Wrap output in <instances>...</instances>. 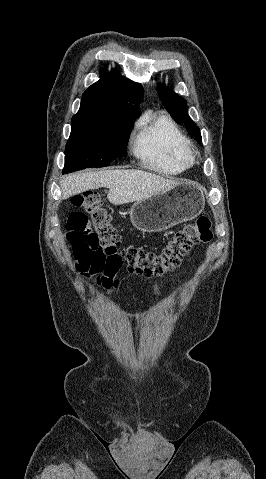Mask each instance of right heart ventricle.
<instances>
[{
	"mask_svg": "<svg viewBox=\"0 0 266 479\" xmlns=\"http://www.w3.org/2000/svg\"><path fill=\"white\" fill-rule=\"evenodd\" d=\"M132 150L145 168L161 175H178L194 164L189 139L167 116L143 119Z\"/></svg>",
	"mask_w": 266,
	"mask_h": 479,
	"instance_id": "right-heart-ventricle-1",
	"label": "right heart ventricle"
}]
</instances>
